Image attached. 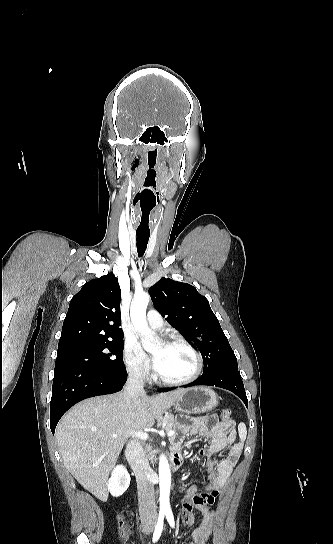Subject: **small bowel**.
<instances>
[{
	"label": "small bowel",
	"instance_id": "obj_1",
	"mask_svg": "<svg viewBox=\"0 0 333 544\" xmlns=\"http://www.w3.org/2000/svg\"><path fill=\"white\" fill-rule=\"evenodd\" d=\"M183 433L186 436L201 437L208 442L205 449L200 452L201 456L210 457L206 465L209 472L206 491L198 493L197 487L191 485L187 488L182 501L185 523H193L194 509H197L202 516L201 524L194 531L190 544H206L213 521L211 505L219 491L226 485L240 458L242 442L236 440V431L231 422L221 423L213 415L192 418L188 424L183 425ZM182 442L183 439L175 440L174 449L180 452ZM224 449H228V455L219 458V453Z\"/></svg>",
	"mask_w": 333,
	"mask_h": 544
}]
</instances>
